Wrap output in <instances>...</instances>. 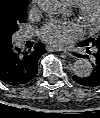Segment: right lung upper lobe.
<instances>
[{
	"label": "right lung upper lobe",
	"instance_id": "right-lung-upper-lobe-1",
	"mask_svg": "<svg viewBox=\"0 0 100 118\" xmlns=\"http://www.w3.org/2000/svg\"><path fill=\"white\" fill-rule=\"evenodd\" d=\"M13 1H23V0H0V48H3L11 44V42L8 41L7 36L5 34L4 25H5V20L7 18L9 5Z\"/></svg>",
	"mask_w": 100,
	"mask_h": 118
}]
</instances>
